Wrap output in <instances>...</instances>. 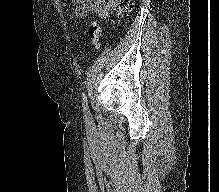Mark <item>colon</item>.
I'll use <instances>...</instances> for the list:
<instances>
[{"label":"colon","mask_w":219,"mask_h":192,"mask_svg":"<svg viewBox=\"0 0 219 192\" xmlns=\"http://www.w3.org/2000/svg\"><path fill=\"white\" fill-rule=\"evenodd\" d=\"M132 7V3L128 2L123 8L122 12H129ZM89 36L91 38L92 43L95 46H99L101 37H102V25L98 20L91 22L89 26Z\"/></svg>","instance_id":"1"}]
</instances>
